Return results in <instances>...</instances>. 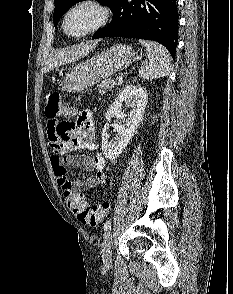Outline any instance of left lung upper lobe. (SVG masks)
<instances>
[{
    "label": "left lung upper lobe",
    "instance_id": "left-lung-upper-lobe-1",
    "mask_svg": "<svg viewBox=\"0 0 233 294\" xmlns=\"http://www.w3.org/2000/svg\"><path fill=\"white\" fill-rule=\"evenodd\" d=\"M84 0H54L55 9L53 14L54 26H57L59 19L67 12L74 4ZM98 2L107 5L111 10L114 9L118 0H97Z\"/></svg>",
    "mask_w": 233,
    "mask_h": 294
}]
</instances>
